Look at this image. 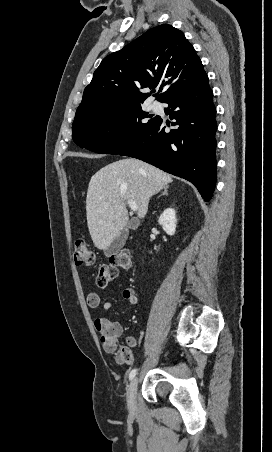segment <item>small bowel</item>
<instances>
[{
	"mask_svg": "<svg viewBox=\"0 0 272 452\" xmlns=\"http://www.w3.org/2000/svg\"><path fill=\"white\" fill-rule=\"evenodd\" d=\"M122 297L128 301L131 305H137L139 300L133 288H125L122 291ZM87 306L90 310H96L101 305V298L97 292H90L86 298ZM102 308L105 311L112 309L111 302H104ZM95 329L101 333V343L106 351H111L115 347L116 343L123 334V328L120 323L110 321L105 317H96L94 319ZM128 342L133 343L132 339H128Z\"/></svg>",
	"mask_w": 272,
	"mask_h": 452,
	"instance_id": "c3829d8e",
	"label": "small bowel"
}]
</instances>
